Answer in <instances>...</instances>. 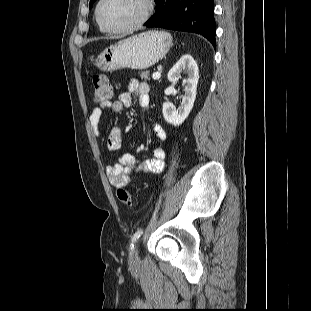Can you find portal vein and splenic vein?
I'll return each instance as SVG.
<instances>
[{"instance_id": "obj_1", "label": "portal vein and splenic vein", "mask_w": 311, "mask_h": 311, "mask_svg": "<svg viewBox=\"0 0 311 311\" xmlns=\"http://www.w3.org/2000/svg\"><path fill=\"white\" fill-rule=\"evenodd\" d=\"M160 77H161V73H160V72H155V73L152 74V78H153L154 80H157V79H159Z\"/></svg>"}]
</instances>
